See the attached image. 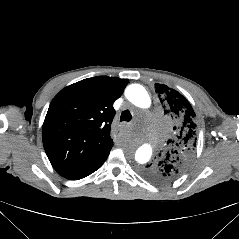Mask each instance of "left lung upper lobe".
<instances>
[{
    "label": "left lung upper lobe",
    "mask_w": 239,
    "mask_h": 239,
    "mask_svg": "<svg viewBox=\"0 0 239 239\" xmlns=\"http://www.w3.org/2000/svg\"><path fill=\"white\" fill-rule=\"evenodd\" d=\"M156 92L175 127V135L167 141V149L155 163L147 165L142 175L155 183H169L178 179L192 162L196 149L195 112L189 101L178 91L163 84H155Z\"/></svg>",
    "instance_id": "left-lung-upper-lobe-1"
}]
</instances>
